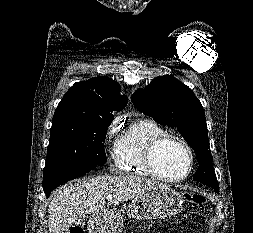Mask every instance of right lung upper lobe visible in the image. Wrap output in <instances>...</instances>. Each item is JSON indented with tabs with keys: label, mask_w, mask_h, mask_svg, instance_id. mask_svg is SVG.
Listing matches in <instances>:
<instances>
[{
	"label": "right lung upper lobe",
	"mask_w": 253,
	"mask_h": 233,
	"mask_svg": "<svg viewBox=\"0 0 253 233\" xmlns=\"http://www.w3.org/2000/svg\"><path fill=\"white\" fill-rule=\"evenodd\" d=\"M120 85L101 76L75 83L63 96L56 110L112 116L127 105V97L119 94Z\"/></svg>",
	"instance_id": "1"
}]
</instances>
